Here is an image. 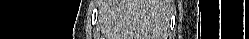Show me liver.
I'll return each mask as SVG.
<instances>
[{
  "label": "liver",
  "mask_w": 249,
  "mask_h": 39,
  "mask_svg": "<svg viewBox=\"0 0 249 39\" xmlns=\"http://www.w3.org/2000/svg\"><path fill=\"white\" fill-rule=\"evenodd\" d=\"M169 9L168 0H106L104 33L111 39H163Z\"/></svg>",
  "instance_id": "obj_1"
}]
</instances>
